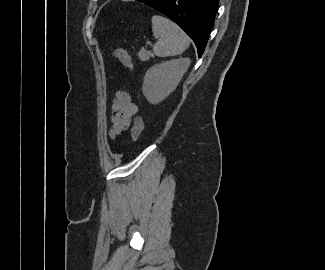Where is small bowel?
Segmentation results:
<instances>
[{"label":"small bowel","instance_id":"1","mask_svg":"<svg viewBox=\"0 0 325 270\" xmlns=\"http://www.w3.org/2000/svg\"><path fill=\"white\" fill-rule=\"evenodd\" d=\"M111 111L110 135L114 137L130 126L133 117L138 113V106L128 92L119 91L112 103Z\"/></svg>","mask_w":325,"mask_h":270}]
</instances>
